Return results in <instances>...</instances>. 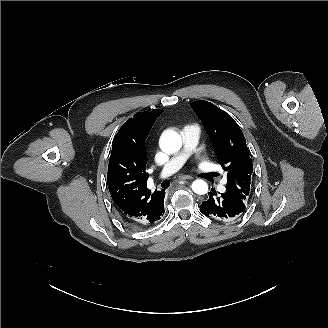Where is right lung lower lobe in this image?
<instances>
[{"label": "right lung lower lobe", "mask_w": 328, "mask_h": 328, "mask_svg": "<svg viewBox=\"0 0 328 328\" xmlns=\"http://www.w3.org/2000/svg\"><path fill=\"white\" fill-rule=\"evenodd\" d=\"M164 196H165V193H164V195H163V197H162V199L160 201V206H159L158 215H157L158 218L155 221H157L160 218V216L162 215V213H163V210H164ZM122 219L124 220V222L127 223L126 219H124L123 217H122ZM127 224L130 225V226H133V225H131L129 223H127Z\"/></svg>", "instance_id": "right-lung-lower-lobe-1"}]
</instances>
